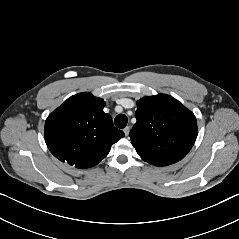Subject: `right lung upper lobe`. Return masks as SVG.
Masks as SVG:
<instances>
[{
  "mask_svg": "<svg viewBox=\"0 0 239 239\" xmlns=\"http://www.w3.org/2000/svg\"><path fill=\"white\" fill-rule=\"evenodd\" d=\"M103 99L90 93L71 96L45 122V141L62 162L80 169L91 168L107 156L111 146L124 137L112 117L103 112Z\"/></svg>",
  "mask_w": 239,
  "mask_h": 239,
  "instance_id": "cb5924a9",
  "label": "right lung upper lobe"
}]
</instances>
